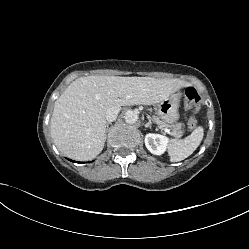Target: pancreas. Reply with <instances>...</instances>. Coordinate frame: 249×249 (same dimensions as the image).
I'll use <instances>...</instances> for the list:
<instances>
[{
	"mask_svg": "<svg viewBox=\"0 0 249 249\" xmlns=\"http://www.w3.org/2000/svg\"><path fill=\"white\" fill-rule=\"evenodd\" d=\"M153 121H154L160 128L168 127V124H166L165 122L161 121L160 118L157 117V116H154V117H153ZM182 125H183L182 123L177 124V125H176L177 129H181ZM171 134H172L174 137H176V138H179V137L182 136V132H181V131H178V132H177V131H173Z\"/></svg>",
	"mask_w": 249,
	"mask_h": 249,
	"instance_id": "1",
	"label": "pancreas"
}]
</instances>
